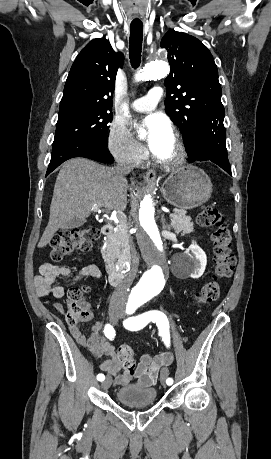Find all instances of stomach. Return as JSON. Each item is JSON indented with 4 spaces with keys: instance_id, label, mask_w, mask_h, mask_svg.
Returning <instances> with one entry per match:
<instances>
[{
    "instance_id": "obj_1",
    "label": "stomach",
    "mask_w": 271,
    "mask_h": 459,
    "mask_svg": "<svg viewBox=\"0 0 271 459\" xmlns=\"http://www.w3.org/2000/svg\"><path fill=\"white\" fill-rule=\"evenodd\" d=\"M160 192L168 204L181 210H191L209 200L212 184L207 174L197 166H182L164 180Z\"/></svg>"
}]
</instances>
